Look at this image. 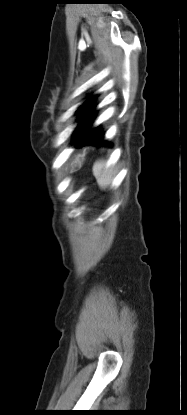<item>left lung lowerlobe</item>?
Listing matches in <instances>:
<instances>
[{
    "instance_id": "1",
    "label": "left lung lower lobe",
    "mask_w": 187,
    "mask_h": 415,
    "mask_svg": "<svg viewBox=\"0 0 187 415\" xmlns=\"http://www.w3.org/2000/svg\"><path fill=\"white\" fill-rule=\"evenodd\" d=\"M96 97L87 100L79 110V119H82L77 126L74 134L76 137L72 140L75 146L84 145H106L112 146L111 143L104 140V133L100 126L90 129L96 111H94L96 104L94 103Z\"/></svg>"
}]
</instances>
